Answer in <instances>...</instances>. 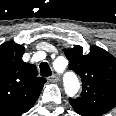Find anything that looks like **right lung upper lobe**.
Returning a JSON list of instances; mask_svg holds the SVG:
<instances>
[{
	"instance_id": "1",
	"label": "right lung upper lobe",
	"mask_w": 116,
	"mask_h": 116,
	"mask_svg": "<svg viewBox=\"0 0 116 116\" xmlns=\"http://www.w3.org/2000/svg\"><path fill=\"white\" fill-rule=\"evenodd\" d=\"M24 52L14 42L0 45V116H21L29 111L46 82L33 64L23 62Z\"/></svg>"
}]
</instances>
